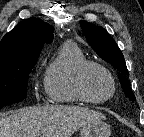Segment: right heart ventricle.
I'll return each mask as SVG.
<instances>
[{"mask_svg":"<svg viewBox=\"0 0 144 137\" xmlns=\"http://www.w3.org/2000/svg\"><path fill=\"white\" fill-rule=\"evenodd\" d=\"M87 62L82 50L72 41L63 43L47 64L44 89L50 101L57 104H77L83 100L75 90V76Z\"/></svg>","mask_w":144,"mask_h":137,"instance_id":"right-heart-ventricle-1","label":"right heart ventricle"}]
</instances>
